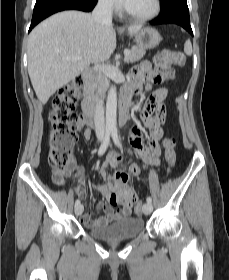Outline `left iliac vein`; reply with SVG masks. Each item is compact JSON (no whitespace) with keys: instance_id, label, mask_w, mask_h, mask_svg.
Listing matches in <instances>:
<instances>
[{"instance_id":"4c4485c4","label":"left iliac vein","mask_w":229,"mask_h":280,"mask_svg":"<svg viewBox=\"0 0 229 280\" xmlns=\"http://www.w3.org/2000/svg\"><path fill=\"white\" fill-rule=\"evenodd\" d=\"M142 210H143V213H144L145 215L150 214L151 211H152V205H151V203H148V202L145 203V204L143 205Z\"/></svg>"}]
</instances>
